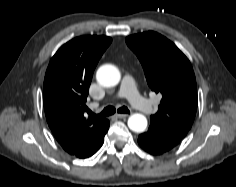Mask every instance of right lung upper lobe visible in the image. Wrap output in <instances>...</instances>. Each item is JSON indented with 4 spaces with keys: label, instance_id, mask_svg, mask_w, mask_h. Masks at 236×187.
Masks as SVG:
<instances>
[{
    "label": "right lung upper lobe",
    "instance_id": "right-lung-upper-lobe-1",
    "mask_svg": "<svg viewBox=\"0 0 236 187\" xmlns=\"http://www.w3.org/2000/svg\"><path fill=\"white\" fill-rule=\"evenodd\" d=\"M111 41L106 36L74 38L55 53L45 74L48 125L63 149L78 158L92 156L109 127L107 119H86L84 111L93 71Z\"/></svg>",
    "mask_w": 236,
    "mask_h": 187
}]
</instances>
